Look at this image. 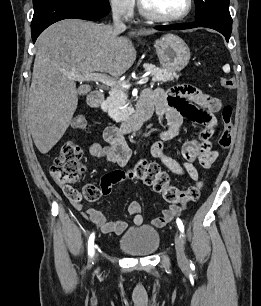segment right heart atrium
<instances>
[{"label":"right heart atrium","instance_id":"right-heart-atrium-1","mask_svg":"<svg viewBox=\"0 0 261 306\" xmlns=\"http://www.w3.org/2000/svg\"><path fill=\"white\" fill-rule=\"evenodd\" d=\"M109 5L112 12L123 19L131 18L135 10V0H109Z\"/></svg>","mask_w":261,"mask_h":306}]
</instances>
